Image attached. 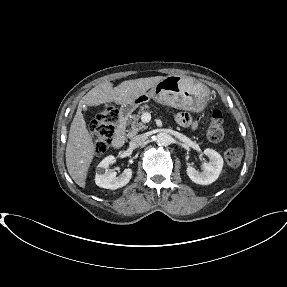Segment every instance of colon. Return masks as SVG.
Wrapping results in <instances>:
<instances>
[{
	"mask_svg": "<svg viewBox=\"0 0 287 287\" xmlns=\"http://www.w3.org/2000/svg\"><path fill=\"white\" fill-rule=\"evenodd\" d=\"M118 121V111L111 105H104L97 113L92 123V136L96 156L103 155L113 141L115 126ZM206 136L211 142H219L224 137L223 120L220 112L215 111L206 128ZM243 151L239 147L229 148L225 152L226 162L230 166L240 164Z\"/></svg>",
	"mask_w": 287,
	"mask_h": 287,
	"instance_id": "obj_1",
	"label": "colon"
}]
</instances>
